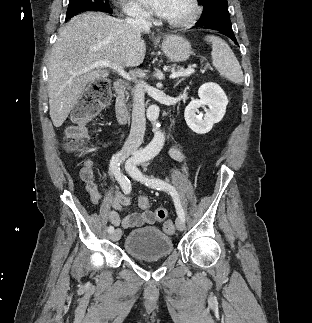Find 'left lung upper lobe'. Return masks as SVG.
<instances>
[{
  "mask_svg": "<svg viewBox=\"0 0 312 323\" xmlns=\"http://www.w3.org/2000/svg\"><path fill=\"white\" fill-rule=\"evenodd\" d=\"M203 5V13L196 26L213 25L220 21H230L227 0H198Z\"/></svg>",
  "mask_w": 312,
  "mask_h": 323,
  "instance_id": "obj_1",
  "label": "left lung upper lobe"
}]
</instances>
